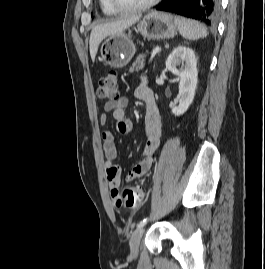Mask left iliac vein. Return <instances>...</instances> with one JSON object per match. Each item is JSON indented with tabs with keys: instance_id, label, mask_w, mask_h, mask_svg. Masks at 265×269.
<instances>
[{
	"instance_id": "left-iliac-vein-1",
	"label": "left iliac vein",
	"mask_w": 265,
	"mask_h": 269,
	"mask_svg": "<svg viewBox=\"0 0 265 269\" xmlns=\"http://www.w3.org/2000/svg\"><path fill=\"white\" fill-rule=\"evenodd\" d=\"M143 234L144 228L140 227L134 231L130 238V251L133 257H136L139 253V245Z\"/></svg>"
}]
</instances>
